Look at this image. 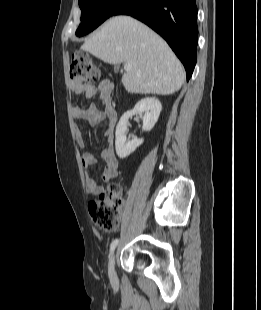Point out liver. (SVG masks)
Masks as SVG:
<instances>
[{"label": "liver", "mask_w": 261, "mask_h": 310, "mask_svg": "<svg viewBox=\"0 0 261 310\" xmlns=\"http://www.w3.org/2000/svg\"><path fill=\"white\" fill-rule=\"evenodd\" d=\"M80 49L110 64H130L122 76L129 93L171 95L185 80L184 68L168 44L130 16L110 18Z\"/></svg>", "instance_id": "1"}]
</instances>
